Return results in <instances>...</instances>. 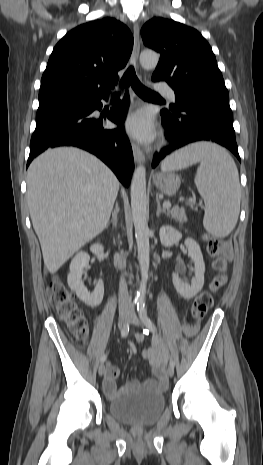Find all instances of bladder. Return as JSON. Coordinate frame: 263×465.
I'll use <instances>...</instances> for the list:
<instances>
[{
    "label": "bladder",
    "mask_w": 263,
    "mask_h": 465,
    "mask_svg": "<svg viewBox=\"0 0 263 465\" xmlns=\"http://www.w3.org/2000/svg\"><path fill=\"white\" fill-rule=\"evenodd\" d=\"M165 397L161 392L139 388L124 392L108 403V412L120 423L133 427L153 426L165 409Z\"/></svg>",
    "instance_id": "31cf9c89"
}]
</instances>
